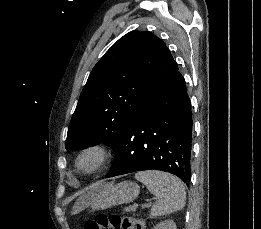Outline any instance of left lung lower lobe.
Masks as SVG:
<instances>
[{"instance_id":"left-lung-lower-lobe-1","label":"left lung lower lobe","mask_w":261,"mask_h":229,"mask_svg":"<svg viewBox=\"0 0 261 229\" xmlns=\"http://www.w3.org/2000/svg\"><path fill=\"white\" fill-rule=\"evenodd\" d=\"M191 146V103L177 70L152 91L128 124L107 177L156 169L188 184Z\"/></svg>"}]
</instances>
